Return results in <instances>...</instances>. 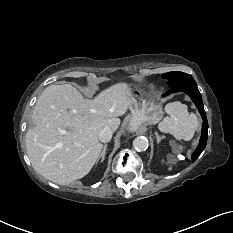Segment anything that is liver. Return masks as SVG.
<instances>
[{
    "instance_id": "obj_1",
    "label": "liver",
    "mask_w": 233,
    "mask_h": 233,
    "mask_svg": "<svg viewBox=\"0 0 233 233\" xmlns=\"http://www.w3.org/2000/svg\"><path fill=\"white\" fill-rule=\"evenodd\" d=\"M131 106L125 83H117L93 100L70 84L50 85L38 98L26 134L27 154L34 170L46 179L68 185L87 175L102 143L99 132L116 131ZM67 131L60 134L59 130Z\"/></svg>"
}]
</instances>
